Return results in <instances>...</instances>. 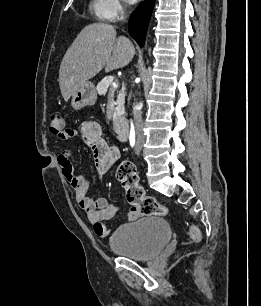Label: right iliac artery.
Listing matches in <instances>:
<instances>
[{
	"label": "right iliac artery",
	"mask_w": 261,
	"mask_h": 306,
	"mask_svg": "<svg viewBox=\"0 0 261 306\" xmlns=\"http://www.w3.org/2000/svg\"><path fill=\"white\" fill-rule=\"evenodd\" d=\"M130 145L132 147H134V145H135V132L134 131H132L131 134H130Z\"/></svg>",
	"instance_id": "1"
}]
</instances>
